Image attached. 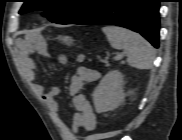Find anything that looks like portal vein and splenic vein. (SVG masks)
<instances>
[{
    "instance_id": "obj_1",
    "label": "portal vein and splenic vein",
    "mask_w": 182,
    "mask_h": 140,
    "mask_svg": "<svg viewBox=\"0 0 182 140\" xmlns=\"http://www.w3.org/2000/svg\"><path fill=\"white\" fill-rule=\"evenodd\" d=\"M114 59H115V60L121 59V55H116V56L114 57Z\"/></svg>"
}]
</instances>
